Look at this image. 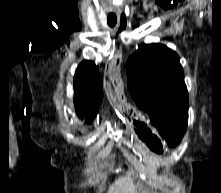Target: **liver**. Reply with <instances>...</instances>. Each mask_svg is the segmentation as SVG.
<instances>
[{
	"label": "liver",
	"instance_id": "liver-1",
	"mask_svg": "<svg viewBox=\"0 0 221 193\" xmlns=\"http://www.w3.org/2000/svg\"><path fill=\"white\" fill-rule=\"evenodd\" d=\"M109 193H122V192H120L119 184L116 183L114 187H111L109 189Z\"/></svg>",
	"mask_w": 221,
	"mask_h": 193
}]
</instances>
